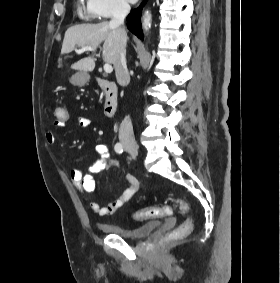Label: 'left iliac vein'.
I'll list each match as a JSON object with an SVG mask.
<instances>
[{
  "instance_id": "4c4485c4",
  "label": "left iliac vein",
  "mask_w": 280,
  "mask_h": 283,
  "mask_svg": "<svg viewBox=\"0 0 280 283\" xmlns=\"http://www.w3.org/2000/svg\"><path fill=\"white\" fill-rule=\"evenodd\" d=\"M130 154L132 155V157H135L137 155V152H130Z\"/></svg>"
}]
</instances>
